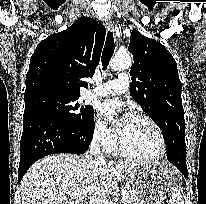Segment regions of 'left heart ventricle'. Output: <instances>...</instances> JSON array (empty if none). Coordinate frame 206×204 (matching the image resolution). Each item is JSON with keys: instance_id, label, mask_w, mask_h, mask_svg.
<instances>
[{"instance_id": "b2bd125f", "label": "left heart ventricle", "mask_w": 206, "mask_h": 204, "mask_svg": "<svg viewBox=\"0 0 206 204\" xmlns=\"http://www.w3.org/2000/svg\"><path fill=\"white\" fill-rule=\"evenodd\" d=\"M120 135L125 146L137 155L152 157L161 150L156 131L143 119L132 116L125 123Z\"/></svg>"}]
</instances>
